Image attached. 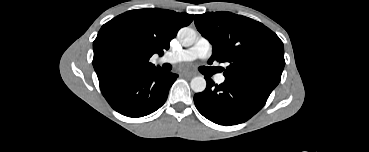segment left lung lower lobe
I'll use <instances>...</instances> for the list:
<instances>
[{"label": "left lung lower lobe", "instance_id": "1", "mask_svg": "<svg viewBox=\"0 0 369 152\" xmlns=\"http://www.w3.org/2000/svg\"><path fill=\"white\" fill-rule=\"evenodd\" d=\"M206 89L194 95L198 111L219 125H237L255 115L266 103L271 89L240 81L226 80L214 84L210 78Z\"/></svg>", "mask_w": 369, "mask_h": 152}]
</instances>
